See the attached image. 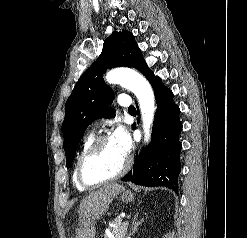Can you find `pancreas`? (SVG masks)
Returning a JSON list of instances; mask_svg holds the SVG:
<instances>
[{
  "label": "pancreas",
  "instance_id": "1",
  "mask_svg": "<svg viewBox=\"0 0 247 238\" xmlns=\"http://www.w3.org/2000/svg\"><path fill=\"white\" fill-rule=\"evenodd\" d=\"M116 225L114 228H111L112 238H125L127 234L128 225L122 221L121 218H117L114 222ZM104 238H110L109 235L105 234Z\"/></svg>",
  "mask_w": 247,
  "mask_h": 238
}]
</instances>
